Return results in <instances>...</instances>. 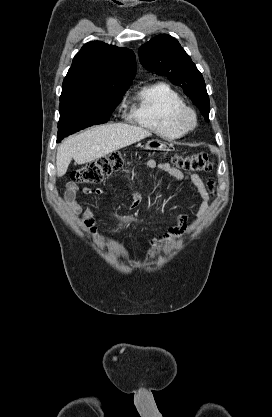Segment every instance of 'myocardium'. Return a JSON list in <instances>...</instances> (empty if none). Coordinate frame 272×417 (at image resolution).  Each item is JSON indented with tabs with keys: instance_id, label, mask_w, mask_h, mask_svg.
<instances>
[{
	"instance_id": "f54148a6",
	"label": "myocardium",
	"mask_w": 272,
	"mask_h": 417,
	"mask_svg": "<svg viewBox=\"0 0 272 417\" xmlns=\"http://www.w3.org/2000/svg\"><path fill=\"white\" fill-rule=\"evenodd\" d=\"M174 122L184 133L194 129L197 125V114L189 106L179 108L174 115Z\"/></svg>"
}]
</instances>
